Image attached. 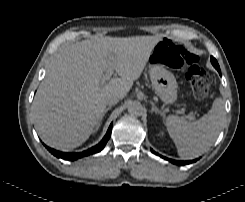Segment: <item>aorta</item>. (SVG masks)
Instances as JSON below:
<instances>
[{
  "label": "aorta",
  "mask_w": 245,
  "mask_h": 202,
  "mask_svg": "<svg viewBox=\"0 0 245 202\" xmlns=\"http://www.w3.org/2000/svg\"><path fill=\"white\" fill-rule=\"evenodd\" d=\"M128 113L133 116H140L143 112V106L138 101H132L128 104Z\"/></svg>",
  "instance_id": "aorta-1"
}]
</instances>
